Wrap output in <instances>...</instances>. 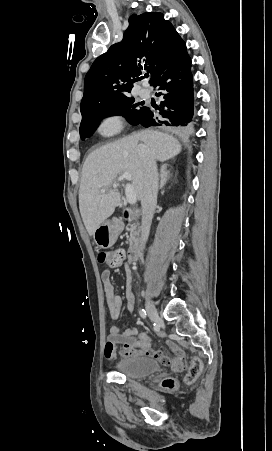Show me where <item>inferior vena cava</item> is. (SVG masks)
<instances>
[{
	"instance_id": "1",
	"label": "inferior vena cava",
	"mask_w": 272,
	"mask_h": 451,
	"mask_svg": "<svg viewBox=\"0 0 272 451\" xmlns=\"http://www.w3.org/2000/svg\"><path fill=\"white\" fill-rule=\"evenodd\" d=\"M140 156L144 164V186L141 196L142 222H141V245L148 239L152 218L157 204L158 194V172L156 160L146 146H140Z\"/></svg>"
}]
</instances>
